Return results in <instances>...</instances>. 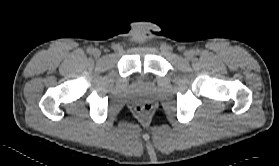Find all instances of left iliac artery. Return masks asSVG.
Instances as JSON below:
<instances>
[{
	"instance_id": "44dca946",
	"label": "left iliac artery",
	"mask_w": 279,
	"mask_h": 166,
	"mask_svg": "<svg viewBox=\"0 0 279 166\" xmlns=\"http://www.w3.org/2000/svg\"><path fill=\"white\" fill-rule=\"evenodd\" d=\"M194 53L198 54V53H199V50L194 51Z\"/></svg>"
}]
</instances>
